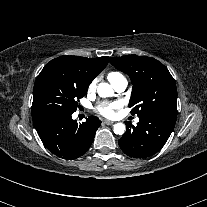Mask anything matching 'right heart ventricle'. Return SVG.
I'll return each mask as SVG.
<instances>
[{
  "instance_id": "right-heart-ventricle-1",
  "label": "right heart ventricle",
  "mask_w": 207,
  "mask_h": 207,
  "mask_svg": "<svg viewBox=\"0 0 207 207\" xmlns=\"http://www.w3.org/2000/svg\"><path fill=\"white\" fill-rule=\"evenodd\" d=\"M118 77H122V75L119 72H110L108 74V79L110 80L111 83H113V81Z\"/></svg>"
}]
</instances>
